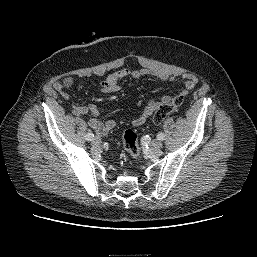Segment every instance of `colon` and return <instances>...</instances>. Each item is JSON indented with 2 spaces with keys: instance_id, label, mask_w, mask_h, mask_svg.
<instances>
[{
  "instance_id": "1",
  "label": "colon",
  "mask_w": 257,
  "mask_h": 257,
  "mask_svg": "<svg viewBox=\"0 0 257 257\" xmlns=\"http://www.w3.org/2000/svg\"><path fill=\"white\" fill-rule=\"evenodd\" d=\"M184 101V97L180 94L175 95L167 103L161 104L154 112L153 121L155 124L162 123L165 118L177 108H179ZM122 145L132 158H137L139 155L138 138L134 131L127 130L122 136Z\"/></svg>"
}]
</instances>
